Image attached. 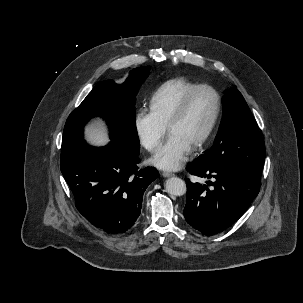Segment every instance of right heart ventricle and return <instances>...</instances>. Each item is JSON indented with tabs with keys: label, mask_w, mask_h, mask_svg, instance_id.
I'll use <instances>...</instances> for the list:
<instances>
[{
	"label": "right heart ventricle",
	"mask_w": 303,
	"mask_h": 303,
	"mask_svg": "<svg viewBox=\"0 0 303 303\" xmlns=\"http://www.w3.org/2000/svg\"><path fill=\"white\" fill-rule=\"evenodd\" d=\"M197 85L183 77L163 82L150 98V111L163 125L167 126L170 117L185 94Z\"/></svg>",
	"instance_id": "obj_1"
}]
</instances>
